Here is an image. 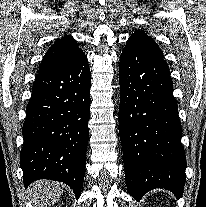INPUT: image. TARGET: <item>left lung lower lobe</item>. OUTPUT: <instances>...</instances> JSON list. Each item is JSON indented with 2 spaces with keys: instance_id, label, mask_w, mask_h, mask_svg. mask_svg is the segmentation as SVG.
Here are the masks:
<instances>
[{
  "instance_id": "0a47b994",
  "label": "left lung lower lobe",
  "mask_w": 206,
  "mask_h": 207,
  "mask_svg": "<svg viewBox=\"0 0 206 207\" xmlns=\"http://www.w3.org/2000/svg\"><path fill=\"white\" fill-rule=\"evenodd\" d=\"M119 76V130L130 194L139 201L146 192L164 188L181 197L186 157L167 63L125 46Z\"/></svg>"
}]
</instances>
